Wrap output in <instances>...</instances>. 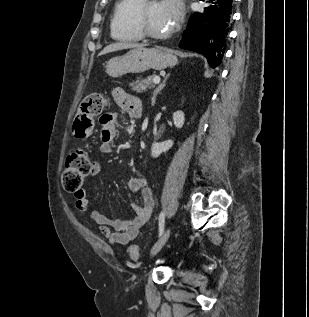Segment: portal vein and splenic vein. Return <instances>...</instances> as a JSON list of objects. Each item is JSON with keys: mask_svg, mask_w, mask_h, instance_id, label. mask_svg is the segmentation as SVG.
Segmentation results:
<instances>
[{"mask_svg": "<svg viewBox=\"0 0 309 317\" xmlns=\"http://www.w3.org/2000/svg\"><path fill=\"white\" fill-rule=\"evenodd\" d=\"M153 83H154V84H159V83H160V77H155V78L153 79Z\"/></svg>", "mask_w": 309, "mask_h": 317, "instance_id": "obj_1", "label": "portal vein and splenic vein"}]
</instances>
